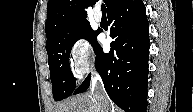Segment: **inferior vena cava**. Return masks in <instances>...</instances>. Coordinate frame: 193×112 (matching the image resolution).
I'll use <instances>...</instances> for the list:
<instances>
[{
  "instance_id": "inferior-vena-cava-1",
  "label": "inferior vena cava",
  "mask_w": 193,
  "mask_h": 112,
  "mask_svg": "<svg viewBox=\"0 0 193 112\" xmlns=\"http://www.w3.org/2000/svg\"><path fill=\"white\" fill-rule=\"evenodd\" d=\"M91 93L96 100L101 112H109V103L100 76L95 73L92 77Z\"/></svg>"
}]
</instances>
